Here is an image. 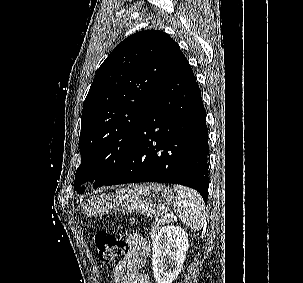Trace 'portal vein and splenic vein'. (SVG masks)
<instances>
[{"label":"portal vein and splenic vein","instance_id":"obj_1","mask_svg":"<svg viewBox=\"0 0 303 283\" xmlns=\"http://www.w3.org/2000/svg\"><path fill=\"white\" fill-rule=\"evenodd\" d=\"M167 222H168L167 217H165L161 221H159V223H161V224H165Z\"/></svg>","mask_w":303,"mask_h":283}]
</instances>
